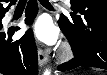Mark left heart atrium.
Segmentation results:
<instances>
[{"mask_svg": "<svg viewBox=\"0 0 107 75\" xmlns=\"http://www.w3.org/2000/svg\"><path fill=\"white\" fill-rule=\"evenodd\" d=\"M28 29L45 44H54L57 41L58 30L47 16H40L28 26Z\"/></svg>", "mask_w": 107, "mask_h": 75, "instance_id": "obj_1", "label": "left heart atrium"}]
</instances>
